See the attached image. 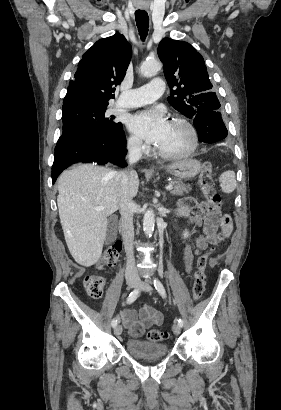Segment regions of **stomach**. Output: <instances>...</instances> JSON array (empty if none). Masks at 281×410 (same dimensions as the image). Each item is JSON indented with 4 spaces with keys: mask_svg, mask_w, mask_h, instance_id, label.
Masks as SVG:
<instances>
[{
    "mask_svg": "<svg viewBox=\"0 0 281 410\" xmlns=\"http://www.w3.org/2000/svg\"><path fill=\"white\" fill-rule=\"evenodd\" d=\"M166 171L178 179H191L201 170V163L196 159H183L164 166Z\"/></svg>",
    "mask_w": 281,
    "mask_h": 410,
    "instance_id": "stomach-1",
    "label": "stomach"
}]
</instances>
